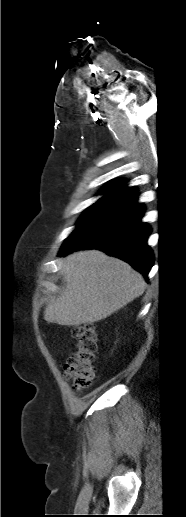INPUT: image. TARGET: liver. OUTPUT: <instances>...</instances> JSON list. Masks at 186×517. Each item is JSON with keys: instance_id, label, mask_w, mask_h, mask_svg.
<instances>
[{"instance_id": "1", "label": "liver", "mask_w": 186, "mask_h": 517, "mask_svg": "<svg viewBox=\"0 0 186 517\" xmlns=\"http://www.w3.org/2000/svg\"><path fill=\"white\" fill-rule=\"evenodd\" d=\"M64 291L44 311L48 323L78 326L107 318L143 294V276L99 250L69 254L62 267Z\"/></svg>"}]
</instances>
